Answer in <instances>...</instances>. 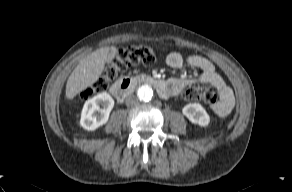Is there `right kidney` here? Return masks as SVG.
Returning <instances> with one entry per match:
<instances>
[{
  "mask_svg": "<svg viewBox=\"0 0 292 192\" xmlns=\"http://www.w3.org/2000/svg\"><path fill=\"white\" fill-rule=\"evenodd\" d=\"M113 106L114 100L106 92L87 100L82 109L80 125L88 131L96 130L108 121Z\"/></svg>",
  "mask_w": 292,
  "mask_h": 192,
  "instance_id": "obj_1",
  "label": "right kidney"
}]
</instances>
